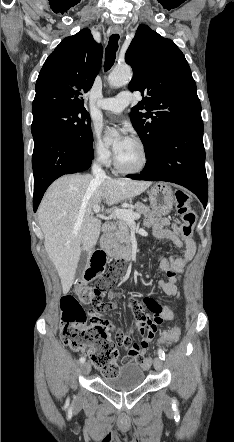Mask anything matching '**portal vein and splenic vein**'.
<instances>
[{
	"mask_svg": "<svg viewBox=\"0 0 234 442\" xmlns=\"http://www.w3.org/2000/svg\"><path fill=\"white\" fill-rule=\"evenodd\" d=\"M93 212L99 214L100 206L98 204L93 206ZM110 213L116 218L123 220L127 223H134L135 220L141 217L140 214L132 212L131 210L127 209H115L111 210Z\"/></svg>",
	"mask_w": 234,
	"mask_h": 442,
	"instance_id": "1",
	"label": "portal vein and splenic vein"
}]
</instances>
